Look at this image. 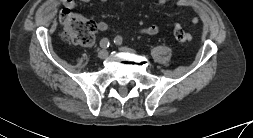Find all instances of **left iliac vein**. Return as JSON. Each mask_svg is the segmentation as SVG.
<instances>
[{"instance_id": "4c4485c4", "label": "left iliac vein", "mask_w": 253, "mask_h": 138, "mask_svg": "<svg viewBox=\"0 0 253 138\" xmlns=\"http://www.w3.org/2000/svg\"><path fill=\"white\" fill-rule=\"evenodd\" d=\"M119 49L123 52L134 53V50H132L131 48H128V47H119Z\"/></svg>"}]
</instances>
